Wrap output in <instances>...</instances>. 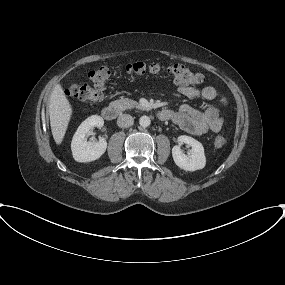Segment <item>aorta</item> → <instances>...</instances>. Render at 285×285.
<instances>
[{
    "instance_id": "762f6f07",
    "label": "aorta",
    "mask_w": 285,
    "mask_h": 285,
    "mask_svg": "<svg viewBox=\"0 0 285 285\" xmlns=\"http://www.w3.org/2000/svg\"><path fill=\"white\" fill-rule=\"evenodd\" d=\"M150 123H151V120L146 115L145 116H141L140 119H139V124H140L141 127L146 128V127H148L150 125Z\"/></svg>"
}]
</instances>
